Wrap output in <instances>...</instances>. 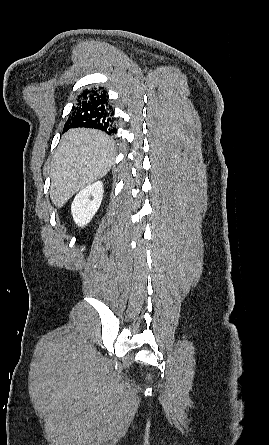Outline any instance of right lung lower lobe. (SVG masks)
Wrapping results in <instances>:
<instances>
[{
  "instance_id": "obj_1",
  "label": "right lung lower lobe",
  "mask_w": 269,
  "mask_h": 445,
  "mask_svg": "<svg viewBox=\"0 0 269 445\" xmlns=\"http://www.w3.org/2000/svg\"><path fill=\"white\" fill-rule=\"evenodd\" d=\"M114 111L108 102L107 93L102 88L84 90L73 106L72 114L64 126L70 128L86 127L104 131L109 135L117 133L113 125Z\"/></svg>"
}]
</instances>
